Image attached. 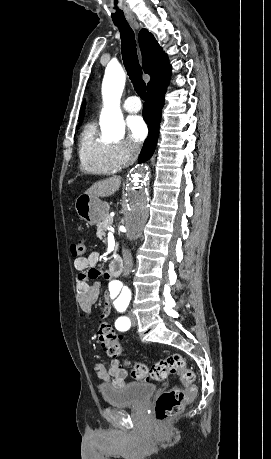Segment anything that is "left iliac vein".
<instances>
[{"label": "left iliac vein", "mask_w": 271, "mask_h": 459, "mask_svg": "<svg viewBox=\"0 0 271 459\" xmlns=\"http://www.w3.org/2000/svg\"><path fill=\"white\" fill-rule=\"evenodd\" d=\"M129 317L131 319L132 325H135L136 324V319H135V316H134L132 311L129 312Z\"/></svg>", "instance_id": "left-iliac-vein-1"}]
</instances>
